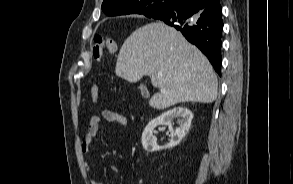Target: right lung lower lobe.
<instances>
[{
    "label": "right lung lower lobe",
    "mask_w": 293,
    "mask_h": 184,
    "mask_svg": "<svg viewBox=\"0 0 293 184\" xmlns=\"http://www.w3.org/2000/svg\"><path fill=\"white\" fill-rule=\"evenodd\" d=\"M175 27L209 59L221 76L222 7L219 1L204 7L198 0H176L153 17Z\"/></svg>",
    "instance_id": "right-lung-lower-lobe-1"
}]
</instances>
